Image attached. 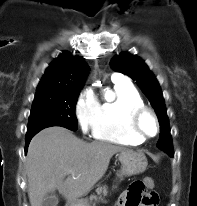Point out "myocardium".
I'll list each match as a JSON object with an SVG mask.
<instances>
[{"mask_svg":"<svg viewBox=\"0 0 197 206\" xmlns=\"http://www.w3.org/2000/svg\"><path fill=\"white\" fill-rule=\"evenodd\" d=\"M146 116H150L153 119L154 124H155V132L152 135L146 134L143 131L142 126H141L142 120ZM128 124H129V128L131 132L137 135L142 140L155 137L158 134L159 129H160L159 120H158L157 115L152 109L146 106L133 109L128 114Z\"/></svg>","mask_w":197,"mask_h":206,"instance_id":"1","label":"myocardium"}]
</instances>
